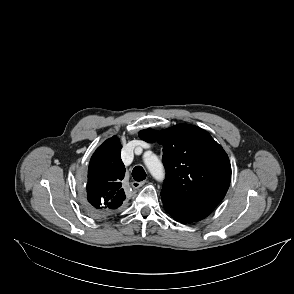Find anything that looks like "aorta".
Masks as SVG:
<instances>
[{
	"mask_svg": "<svg viewBox=\"0 0 294 294\" xmlns=\"http://www.w3.org/2000/svg\"><path fill=\"white\" fill-rule=\"evenodd\" d=\"M144 163L155 179L161 181L164 178L163 165L156 155H145Z\"/></svg>",
	"mask_w": 294,
	"mask_h": 294,
	"instance_id": "obj_1",
	"label": "aorta"
}]
</instances>
